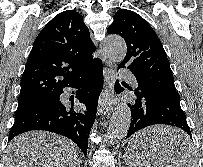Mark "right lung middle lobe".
Instances as JSON below:
<instances>
[{"instance_id": "obj_1", "label": "right lung middle lobe", "mask_w": 203, "mask_h": 167, "mask_svg": "<svg viewBox=\"0 0 203 167\" xmlns=\"http://www.w3.org/2000/svg\"><path fill=\"white\" fill-rule=\"evenodd\" d=\"M55 97L56 96L50 97V98H46V99L40 100L38 102L29 104V105L18 106L17 111L15 113V116L20 114V113H22V112H24V111L30 110L32 108H36V107H40V106H44V105L50 104V103L55 101Z\"/></svg>"}]
</instances>
